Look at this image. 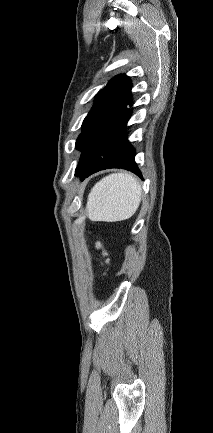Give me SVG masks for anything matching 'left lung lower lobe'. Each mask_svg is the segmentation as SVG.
Here are the masks:
<instances>
[{
	"instance_id": "obj_1",
	"label": "left lung lower lobe",
	"mask_w": 213,
	"mask_h": 433,
	"mask_svg": "<svg viewBox=\"0 0 213 433\" xmlns=\"http://www.w3.org/2000/svg\"><path fill=\"white\" fill-rule=\"evenodd\" d=\"M132 115V109L117 124L105 144L94 159L78 175L82 180L100 170L122 168L129 170L142 178L141 172L134 160L135 150L125 133V127Z\"/></svg>"
}]
</instances>
